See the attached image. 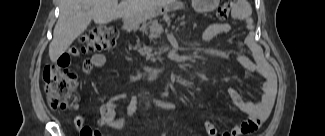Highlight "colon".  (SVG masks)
<instances>
[{
  "label": "colon",
  "instance_id": "1",
  "mask_svg": "<svg viewBox=\"0 0 325 136\" xmlns=\"http://www.w3.org/2000/svg\"><path fill=\"white\" fill-rule=\"evenodd\" d=\"M232 3L230 1L222 4L216 17L219 21H224L230 14ZM118 31L111 26H100L91 29L80 39L81 50L83 52L101 51L112 48L117 40ZM45 92L48 102L53 109H65L74 93L77 82L65 76L62 70L56 65H48L44 69ZM81 136H101L93 128L84 127Z\"/></svg>",
  "mask_w": 325,
  "mask_h": 136
}]
</instances>
